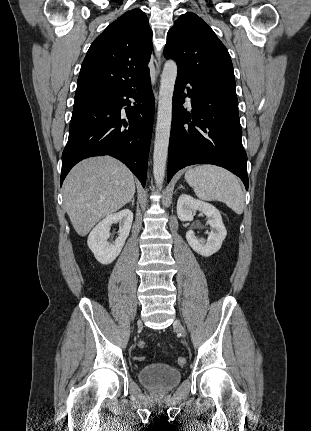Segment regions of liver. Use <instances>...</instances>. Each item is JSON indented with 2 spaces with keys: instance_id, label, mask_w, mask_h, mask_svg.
Instances as JSON below:
<instances>
[{
  "instance_id": "6515ba94",
  "label": "liver",
  "mask_w": 311,
  "mask_h": 431,
  "mask_svg": "<svg viewBox=\"0 0 311 431\" xmlns=\"http://www.w3.org/2000/svg\"><path fill=\"white\" fill-rule=\"evenodd\" d=\"M135 194L134 176L111 156L88 158L72 168L64 182L65 210L79 235L123 208Z\"/></svg>"
}]
</instances>
